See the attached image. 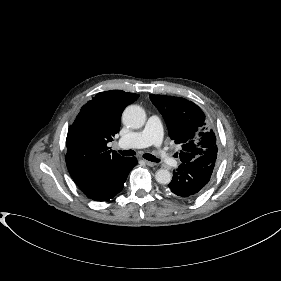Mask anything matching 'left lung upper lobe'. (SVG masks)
I'll return each instance as SVG.
<instances>
[{
  "mask_svg": "<svg viewBox=\"0 0 281 281\" xmlns=\"http://www.w3.org/2000/svg\"><path fill=\"white\" fill-rule=\"evenodd\" d=\"M149 97L163 115L170 138L181 145L179 156L182 163L204 155H217L216 137L196 104L180 97L154 94Z\"/></svg>",
  "mask_w": 281,
  "mask_h": 281,
  "instance_id": "5c2ea615",
  "label": "left lung upper lobe"
}]
</instances>
